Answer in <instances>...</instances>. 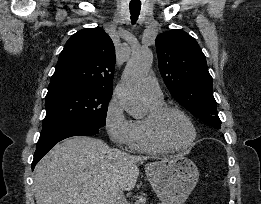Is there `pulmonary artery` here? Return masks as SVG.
I'll return each instance as SVG.
<instances>
[{
	"instance_id": "1",
	"label": "pulmonary artery",
	"mask_w": 261,
	"mask_h": 204,
	"mask_svg": "<svg viewBox=\"0 0 261 204\" xmlns=\"http://www.w3.org/2000/svg\"><path fill=\"white\" fill-rule=\"evenodd\" d=\"M140 90L145 100L160 101L163 99L162 91L153 77L145 78L140 84Z\"/></svg>"
}]
</instances>
